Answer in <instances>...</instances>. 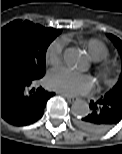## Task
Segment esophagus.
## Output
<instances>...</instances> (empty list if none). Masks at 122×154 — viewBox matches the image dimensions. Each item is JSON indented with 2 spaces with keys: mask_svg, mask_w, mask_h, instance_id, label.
<instances>
[{
  "mask_svg": "<svg viewBox=\"0 0 122 154\" xmlns=\"http://www.w3.org/2000/svg\"><path fill=\"white\" fill-rule=\"evenodd\" d=\"M58 94L64 96L69 103H74L76 101V98H74V97L66 96V95L61 94V93H58Z\"/></svg>",
  "mask_w": 122,
  "mask_h": 154,
  "instance_id": "obj_1",
  "label": "esophagus"
}]
</instances>
